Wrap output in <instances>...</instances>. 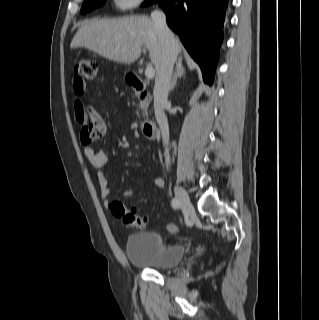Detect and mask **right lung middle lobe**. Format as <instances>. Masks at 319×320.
Masks as SVG:
<instances>
[{
	"mask_svg": "<svg viewBox=\"0 0 319 320\" xmlns=\"http://www.w3.org/2000/svg\"><path fill=\"white\" fill-rule=\"evenodd\" d=\"M155 0H146L143 5H150ZM105 0H85L81 8V13H87L104 4Z\"/></svg>",
	"mask_w": 319,
	"mask_h": 320,
	"instance_id": "dd1d6c3e",
	"label": "right lung middle lobe"
}]
</instances>
